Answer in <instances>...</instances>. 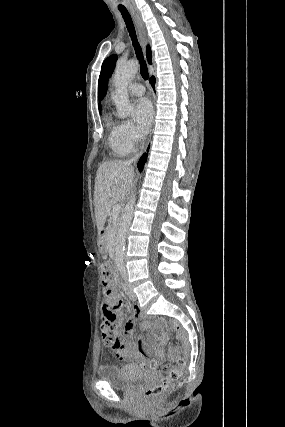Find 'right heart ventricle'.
Returning a JSON list of instances; mask_svg holds the SVG:
<instances>
[{
  "mask_svg": "<svg viewBox=\"0 0 285 427\" xmlns=\"http://www.w3.org/2000/svg\"><path fill=\"white\" fill-rule=\"evenodd\" d=\"M109 130L108 142L112 150L117 156H125L129 151L122 145L119 135V125L112 120H107Z\"/></svg>",
  "mask_w": 285,
  "mask_h": 427,
  "instance_id": "obj_1",
  "label": "right heart ventricle"
}]
</instances>
